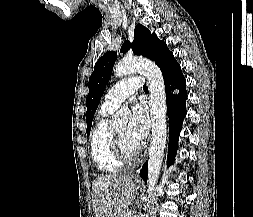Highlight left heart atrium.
<instances>
[{
    "label": "left heart atrium",
    "mask_w": 253,
    "mask_h": 217,
    "mask_svg": "<svg viewBox=\"0 0 253 217\" xmlns=\"http://www.w3.org/2000/svg\"><path fill=\"white\" fill-rule=\"evenodd\" d=\"M149 132V120L145 109L135 104L132 107L131 119L128 125L129 137L138 147L141 146Z\"/></svg>",
    "instance_id": "1"
}]
</instances>
